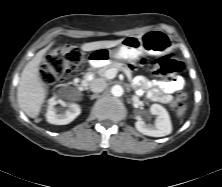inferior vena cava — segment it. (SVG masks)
I'll return each instance as SVG.
<instances>
[{"label":"inferior vena cava","instance_id":"602c4592","mask_svg":"<svg viewBox=\"0 0 222 187\" xmlns=\"http://www.w3.org/2000/svg\"><path fill=\"white\" fill-rule=\"evenodd\" d=\"M107 84L103 79H95L90 83V90L94 93H100L106 88Z\"/></svg>","mask_w":222,"mask_h":187}]
</instances>
